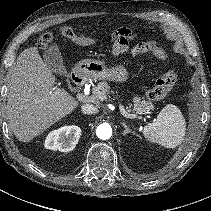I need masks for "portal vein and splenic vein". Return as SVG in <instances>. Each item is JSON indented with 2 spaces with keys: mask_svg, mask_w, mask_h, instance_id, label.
Segmentation results:
<instances>
[{
  "mask_svg": "<svg viewBox=\"0 0 211 211\" xmlns=\"http://www.w3.org/2000/svg\"><path fill=\"white\" fill-rule=\"evenodd\" d=\"M77 99L79 101H91V100H94V97H90V96H86V95H83V94L78 93L77 94ZM119 109H120L121 114L123 116H125L126 118L133 119V118H136L137 117L134 114L127 113L126 110L124 109V106L121 105V104H119Z\"/></svg>",
  "mask_w": 211,
  "mask_h": 211,
  "instance_id": "portal-vein-and-splenic-vein-1",
  "label": "portal vein and splenic vein"
}]
</instances>
